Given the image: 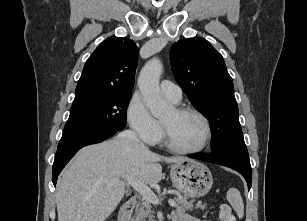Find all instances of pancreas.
<instances>
[{
  "label": "pancreas",
  "instance_id": "pancreas-1",
  "mask_svg": "<svg viewBox=\"0 0 307 221\" xmlns=\"http://www.w3.org/2000/svg\"><path fill=\"white\" fill-rule=\"evenodd\" d=\"M175 195V201L177 202L176 207L180 211H193L198 208H206V204H202V202H198L194 205V201H188L186 196H182L179 193H175ZM132 221H155L151 204L144 199L140 200L136 206L135 215Z\"/></svg>",
  "mask_w": 307,
  "mask_h": 221
}]
</instances>
